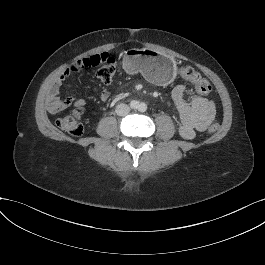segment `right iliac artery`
Listing matches in <instances>:
<instances>
[{"label":"right iliac artery","mask_w":265,"mask_h":265,"mask_svg":"<svg viewBox=\"0 0 265 265\" xmlns=\"http://www.w3.org/2000/svg\"><path fill=\"white\" fill-rule=\"evenodd\" d=\"M130 106L133 109H137L139 107V103L137 101H131Z\"/></svg>","instance_id":"82829eb1"}]
</instances>
